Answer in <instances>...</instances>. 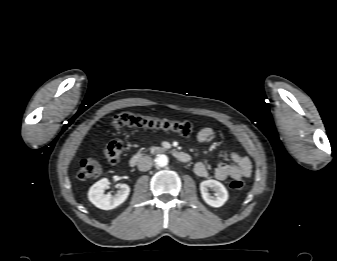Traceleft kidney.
<instances>
[{"instance_id": "5707ae66", "label": "left kidney", "mask_w": 337, "mask_h": 261, "mask_svg": "<svg viewBox=\"0 0 337 261\" xmlns=\"http://www.w3.org/2000/svg\"><path fill=\"white\" fill-rule=\"evenodd\" d=\"M209 188L215 191V197L208 193ZM203 200L212 207H221L228 200V192L224 185L216 180H204L200 183Z\"/></svg>"}]
</instances>
